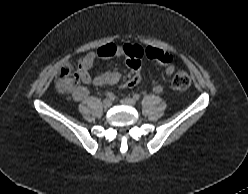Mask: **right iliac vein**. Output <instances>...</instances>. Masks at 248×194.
<instances>
[{
    "mask_svg": "<svg viewBox=\"0 0 248 194\" xmlns=\"http://www.w3.org/2000/svg\"><path fill=\"white\" fill-rule=\"evenodd\" d=\"M111 105H112L111 100H109V99H105V100L103 101V107H104L105 109L110 108V107H111Z\"/></svg>",
    "mask_w": 248,
    "mask_h": 194,
    "instance_id": "right-iliac-vein-1",
    "label": "right iliac vein"
}]
</instances>
